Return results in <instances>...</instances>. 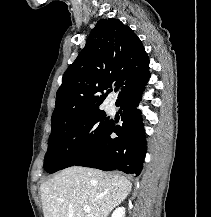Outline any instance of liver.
Returning <instances> with one entry per match:
<instances>
[{"instance_id": "liver-1", "label": "liver", "mask_w": 211, "mask_h": 217, "mask_svg": "<svg viewBox=\"0 0 211 217\" xmlns=\"http://www.w3.org/2000/svg\"><path fill=\"white\" fill-rule=\"evenodd\" d=\"M131 189L132 183L118 173L69 167L40 186L44 217H107Z\"/></svg>"}]
</instances>
